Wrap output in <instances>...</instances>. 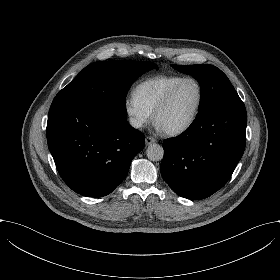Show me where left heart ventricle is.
Wrapping results in <instances>:
<instances>
[{"instance_id":"left-heart-ventricle-1","label":"left heart ventricle","mask_w":280,"mask_h":280,"mask_svg":"<svg viewBox=\"0 0 280 280\" xmlns=\"http://www.w3.org/2000/svg\"><path fill=\"white\" fill-rule=\"evenodd\" d=\"M199 100V88L194 81L185 82L175 93L170 105L157 120L166 130L186 123L193 116Z\"/></svg>"}]
</instances>
